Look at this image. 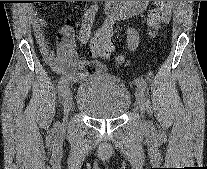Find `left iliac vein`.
I'll return each mask as SVG.
<instances>
[{
    "instance_id": "left-iliac-vein-1",
    "label": "left iliac vein",
    "mask_w": 207,
    "mask_h": 169,
    "mask_svg": "<svg viewBox=\"0 0 207 169\" xmlns=\"http://www.w3.org/2000/svg\"><path fill=\"white\" fill-rule=\"evenodd\" d=\"M135 96H136L137 107L140 110V112L143 113L145 108V95L143 93V90L138 88L136 90Z\"/></svg>"
}]
</instances>
